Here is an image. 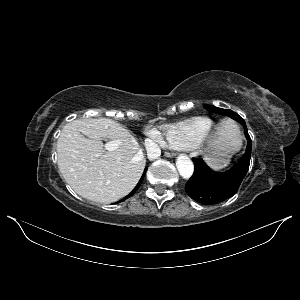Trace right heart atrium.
Instances as JSON below:
<instances>
[{
	"instance_id": "obj_1",
	"label": "right heart atrium",
	"mask_w": 300,
	"mask_h": 300,
	"mask_svg": "<svg viewBox=\"0 0 300 300\" xmlns=\"http://www.w3.org/2000/svg\"><path fill=\"white\" fill-rule=\"evenodd\" d=\"M149 136L152 140H154L155 142H157L158 144L160 145H164V141H163V138H162V135L161 133L156 130V129H151L149 131Z\"/></svg>"
}]
</instances>
